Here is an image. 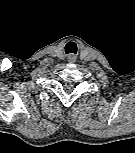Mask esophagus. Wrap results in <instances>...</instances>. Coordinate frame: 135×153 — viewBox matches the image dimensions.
I'll return each instance as SVG.
<instances>
[{"label":"esophagus","mask_w":135,"mask_h":153,"mask_svg":"<svg viewBox=\"0 0 135 153\" xmlns=\"http://www.w3.org/2000/svg\"><path fill=\"white\" fill-rule=\"evenodd\" d=\"M75 60H76V57L73 56V55H70V56L68 57V61H69V62H74Z\"/></svg>","instance_id":"1"}]
</instances>
